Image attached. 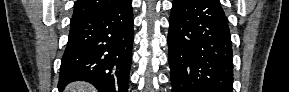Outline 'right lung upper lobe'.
Masks as SVG:
<instances>
[{"label": "right lung upper lobe", "mask_w": 289, "mask_h": 92, "mask_svg": "<svg viewBox=\"0 0 289 92\" xmlns=\"http://www.w3.org/2000/svg\"><path fill=\"white\" fill-rule=\"evenodd\" d=\"M122 0H77L74 5L73 17L107 9Z\"/></svg>", "instance_id": "obj_1"}]
</instances>
